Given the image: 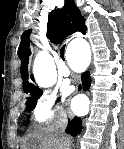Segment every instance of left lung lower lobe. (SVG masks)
Segmentation results:
<instances>
[{
	"mask_svg": "<svg viewBox=\"0 0 124 149\" xmlns=\"http://www.w3.org/2000/svg\"><path fill=\"white\" fill-rule=\"evenodd\" d=\"M90 83H91L90 73L86 72V73L82 74V84H83L84 90L89 89Z\"/></svg>",
	"mask_w": 124,
	"mask_h": 149,
	"instance_id": "0a47b994",
	"label": "left lung lower lobe"
}]
</instances>
